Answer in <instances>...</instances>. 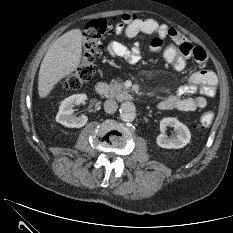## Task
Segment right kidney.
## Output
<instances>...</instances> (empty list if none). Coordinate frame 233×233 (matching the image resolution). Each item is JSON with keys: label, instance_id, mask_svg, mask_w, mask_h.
<instances>
[{"label": "right kidney", "instance_id": "obj_1", "mask_svg": "<svg viewBox=\"0 0 233 233\" xmlns=\"http://www.w3.org/2000/svg\"><path fill=\"white\" fill-rule=\"evenodd\" d=\"M87 99L85 94H75L66 98L59 107V111L56 115V121L65 127L69 128H81L83 127L88 118L85 115L79 117L73 116V107L77 104L83 103Z\"/></svg>", "mask_w": 233, "mask_h": 233}]
</instances>
